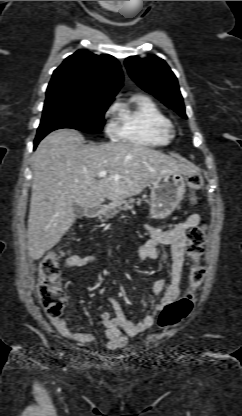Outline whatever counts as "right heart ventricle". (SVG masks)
I'll return each instance as SVG.
<instances>
[{
  "instance_id": "1",
  "label": "right heart ventricle",
  "mask_w": 242,
  "mask_h": 416,
  "mask_svg": "<svg viewBox=\"0 0 242 416\" xmlns=\"http://www.w3.org/2000/svg\"><path fill=\"white\" fill-rule=\"evenodd\" d=\"M118 126L115 137L141 146L158 147L170 143L171 124L163 111L150 98L135 95L115 105Z\"/></svg>"
}]
</instances>
